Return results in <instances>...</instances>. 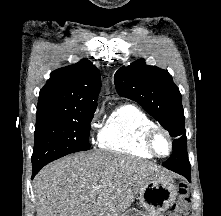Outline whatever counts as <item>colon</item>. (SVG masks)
Listing matches in <instances>:
<instances>
[{"mask_svg":"<svg viewBox=\"0 0 221 216\" xmlns=\"http://www.w3.org/2000/svg\"><path fill=\"white\" fill-rule=\"evenodd\" d=\"M188 203L189 199L187 197V191L186 189L182 188L179 190V197L176 203L173 205L169 216H182V214L186 211Z\"/></svg>","mask_w":221,"mask_h":216,"instance_id":"1","label":"colon"}]
</instances>
